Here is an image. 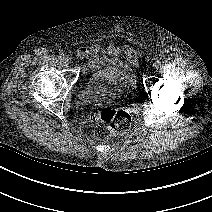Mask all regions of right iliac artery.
Segmentation results:
<instances>
[{
  "instance_id": "82829eb1",
  "label": "right iliac artery",
  "mask_w": 212,
  "mask_h": 212,
  "mask_svg": "<svg viewBox=\"0 0 212 212\" xmlns=\"http://www.w3.org/2000/svg\"><path fill=\"white\" fill-rule=\"evenodd\" d=\"M59 59H60L61 61H63V60L65 59V55H64V54H60V55H59Z\"/></svg>"
}]
</instances>
